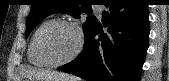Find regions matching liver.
Listing matches in <instances>:
<instances>
[{"label": "liver", "mask_w": 169, "mask_h": 81, "mask_svg": "<svg viewBox=\"0 0 169 81\" xmlns=\"http://www.w3.org/2000/svg\"><path fill=\"white\" fill-rule=\"evenodd\" d=\"M23 75L31 81H75V78L57 71L27 69Z\"/></svg>", "instance_id": "liver-1"}]
</instances>
